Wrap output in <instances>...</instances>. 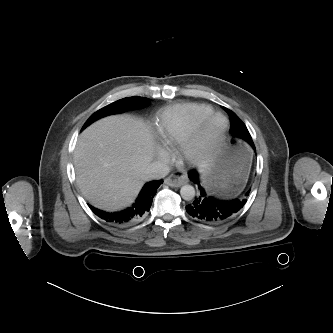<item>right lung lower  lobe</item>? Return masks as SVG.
Here are the masks:
<instances>
[{"label": "right lung lower lobe", "instance_id": "obj_1", "mask_svg": "<svg viewBox=\"0 0 333 333\" xmlns=\"http://www.w3.org/2000/svg\"><path fill=\"white\" fill-rule=\"evenodd\" d=\"M163 183L162 180H154L146 183L142 188L136 202L120 212H105L89 205L91 210L101 219L113 225H129L137 222L150 210L153 197L158 187Z\"/></svg>", "mask_w": 333, "mask_h": 333}]
</instances>
